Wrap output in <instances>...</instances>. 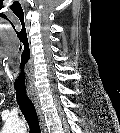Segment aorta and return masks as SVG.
I'll return each instance as SVG.
<instances>
[{
    "label": "aorta",
    "mask_w": 120,
    "mask_h": 133,
    "mask_svg": "<svg viewBox=\"0 0 120 133\" xmlns=\"http://www.w3.org/2000/svg\"><path fill=\"white\" fill-rule=\"evenodd\" d=\"M7 133H18L24 130V124L21 121L9 122L6 126Z\"/></svg>",
    "instance_id": "aorta-1"
}]
</instances>
